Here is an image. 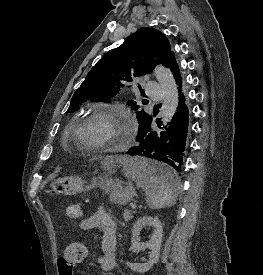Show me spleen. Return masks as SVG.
<instances>
[{
  "label": "spleen",
  "instance_id": "obj_1",
  "mask_svg": "<svg viewBox=\"0 0 263 275\" xmlns=\"http://www.w3.org/2000/svg\"><path fill=\"white\" fill-rule=\"evenodd\" d=\"M125 175L136 182L146 194V202L152 209L173 206L177 201L176 185L154 177L150 170L153 165L144 158L124 157Z\"/></svg>",
  "mask_w": 263,
  "mask_h": 275
}]
</instances>
